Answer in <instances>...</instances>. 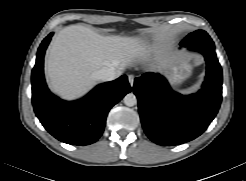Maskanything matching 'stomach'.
<instances>
[{"label": "stomach", "instance_id": "1", "mask_svg": "<svg viewBox=\"0 0 246 181\" xmlns=\"http://www.w3.org/2000/svg\"><path fill=\"white\" fill-rule=\"evenodd\" d=\"M192 72L190 60L186 57H181L168 71V80L173 87H177L184 81Z\"/></svg>", "mask_w": 246, "mask_h": 181}]
</instances>
